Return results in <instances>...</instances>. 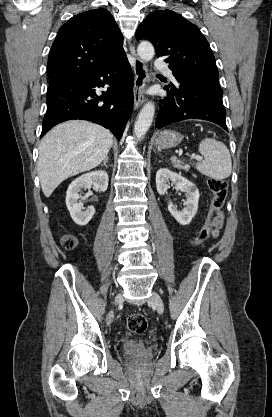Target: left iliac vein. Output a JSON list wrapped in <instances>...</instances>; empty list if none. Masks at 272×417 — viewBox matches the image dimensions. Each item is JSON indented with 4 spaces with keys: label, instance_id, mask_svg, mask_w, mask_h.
Listing matches in <instances>:
<instances>
[{
    "label": "left iliac vein",
    "instance_id": "left-iliac-vein-1",
    "mask_svg": "<svg viewBox=\"0 0 272 417\" xmlns=\"http://www.w3.org/2000/svg\"><path fill=\"white\" fill-rule=\"evenodd\" d=\"M148 302L156 307L159 314H163L164 303L161 296L158 293L152 292V295L149 298Z\"/></svg>",
    "mask_w": 272,
    "mask_h": 417
}]
</instances>
